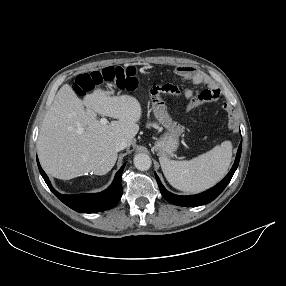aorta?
Wrapping results in <instances>:
<instances>
[{
    "instance_id": "762f6f07",
    "label": "aorta",
    "mask_w": 286,
    "mask_h": 286,
    "mask_svg": "<svg viewBox=\"0 0 286 286\" xmlns=\"http://www.w3.org/2000/svg\"><path fill=\"white\" fill-rule=\"evenodd\" d=\"M133 161L135 167L140 171H147L152 165L150 156L145 153L136 154Z\"/></svg>"
}]
</instances>
